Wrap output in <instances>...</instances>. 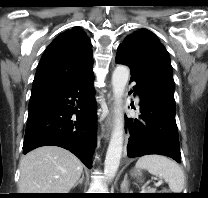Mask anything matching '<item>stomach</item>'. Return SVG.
I'll list each match as a JSON object with an SVG mask.
<instances>
[{
    "label": "stomach",
    "mask_w": 208,
    "mask_h": 198,
    "mask_svg": "<svg viewBox=\"0 0 208 198\" xmlns=\"http://www.w3.org/2000/svg\"><path fill=\"white\" fill-rule=\"evenodd\" d=\"M131 176L138 182H143V172L141 169L134 168L131 170Z\"/></svg>",
    "instance_id": "1"
}]
</instances>
